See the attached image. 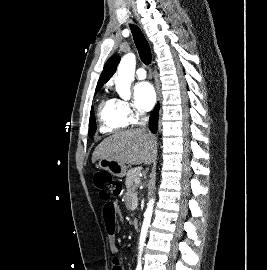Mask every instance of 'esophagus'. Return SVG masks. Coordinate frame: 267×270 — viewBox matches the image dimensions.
Segmentation results:
<instances>
[{
	"instance_id": "obj_1",
	"label": "esophagus",
	"mask_w": 267,
	"mask_h": 270,
	"mask_svg": "<svg viewBox=\"0 0 267 270\" xmlns=\"http://www.w3.org/2000/svg\"><path fill=\"white\" fill-rule=\"evenodd\" d=\"M155 88H156L157 97L159 99V85H158L157 81L155 82Z\"/></svg>"
}]
</instances>
